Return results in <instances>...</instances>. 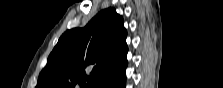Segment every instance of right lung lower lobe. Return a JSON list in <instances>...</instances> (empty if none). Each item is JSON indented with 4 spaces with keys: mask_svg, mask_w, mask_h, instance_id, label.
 I'll return each instance as SVG.
<instances>
[{
    "mask_svg": "<svg viewBox=\"0 0 223 88\" xmlns=\"http://www.w3.org/2000/svg\"><path fill=\"white\" fill-rule=\"evenodd\" d=\"M116 88H125V81L122 84H120L119 86H117Z\"/></svg>",
    "mask_w": 223,
    "mask_h": 88,
    "instance_id": "1",
    "label": "right lung lower lobe"
}]
</instances>
